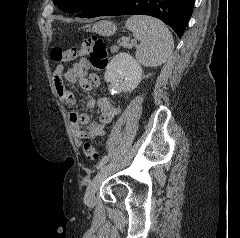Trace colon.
Returning <instances> with one entry per match:
<instances>
[{
  "mask_svg": "<svg viewBox=\"0 0 240 238\" xmlns=\"http://www.w3.org/2000/svg\"><path fill=\"white\" fill-rule=\"evenodd\" d=\"M88 56L91 66L97 70H103L107 65V48L105 43L97 38L85 39L79 48L62 50L53 48L50 53L51 59L56 63L73 61L78 57ZM84 155L90 160H96L98 153L95 148L86 143L83 148Z\"/></svg>",
  "mask_w": 240,
  "mask_h": 238,
  "instance_id": "colon-1",
  "label": "colon"
}]
</instances>
